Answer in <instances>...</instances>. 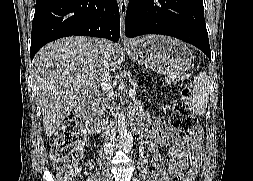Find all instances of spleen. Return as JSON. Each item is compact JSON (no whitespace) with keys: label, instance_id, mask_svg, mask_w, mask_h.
Segmentation results:
<instances>
[{"label":"spleen","instance_id":"1","mask_svg":"<svg viewBox=\"0 0 253 181\" xmlns=\"http://www.w3.org/2000/svg\"><path fill=\"white\" fill-rule=\"evenodd\" d=\"M192 91V109L197 115H203L207 108L210 81L205 72L199 73L194 79Z\"/></svg>","mask_w":253,"mask_h":181}]
</instances>
